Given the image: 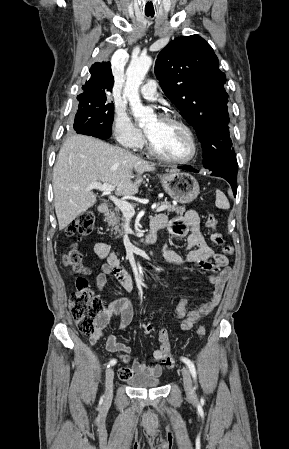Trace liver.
<instances>
[{
  "label": "liver",
  "instance_id": "obj_1",
  "mask_svg": "<svg viewBox=\"0 0 289 449\" xmlns=\"http://www.w3.org/2000/svg\"><path fill=\"white\" fill-rule=\"evenodd\" d=\"M154 170L153 164L120 147L84 135L69 137L62 145L53 169L59 230L96 203L94 193L86 190L91 183L111 184L117 195L130 197L138 192L142 182L140 175Z\"/></svg>",
  "mask_w": 289,
  "mask_h": 449
}]
</instances>
